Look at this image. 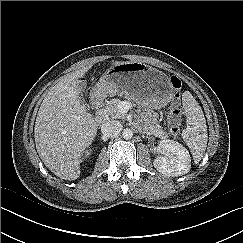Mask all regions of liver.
Wrapping results in <instances>:
<instances>
[{"mask_svg": "<svg viewBox=\"0 0 243 243\" xmlns=\"http://www.w3.org/2000/svg\"><path fill=\"white\" fill-rule=\"evenodd\" d=\"M91 67L64 76L48 91L36 117L37 152L44 165L64 180L80 176L81 157L97 134V124L82 104L78 84Z\"/></svg>", "mask_w": 243, "mask_h": 243, "instance_id": "liver-1", "label": "liver"}]
</instances>
